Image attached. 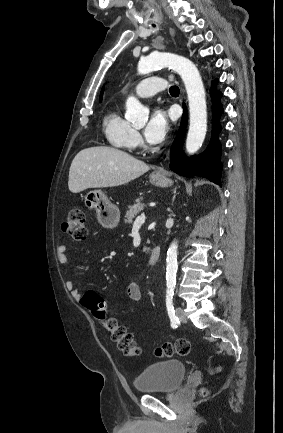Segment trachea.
Here are the masks:
<instances>
[{"instance_id": "obj_1", "label": "trachea", "mask_w": 283, "mask_h": 433, "mask_svg": "<svg viewBox=\"0 0 283 433\" xmlns=\"http://www.w3.org/2000/svg\"><path fill=\"white\" fill-rule=\"evenodd\" d=\"M153 28H155V25H153ZM169 91H170L171 95H179V93H180V90L176 85H173L172 87H170Z\"/></svg>"}]
</instances>
